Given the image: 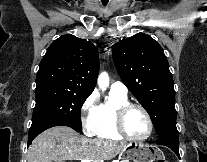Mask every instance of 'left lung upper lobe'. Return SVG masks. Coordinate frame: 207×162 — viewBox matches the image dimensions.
Returning a JSON list of instances; mask_svg holds the SVG:
<instances>
[{
    "label": "left lung upper lobe",
    "mask_w": 207,
    "mask_h": 162,
    "mask_svg": "<svg viewBox=\"0 0 207 162\" xmlns=\"http://www.w3.org/2000/svg\"><path fill=\"white\" fill-rule=\"evenodd\" d=\"M112 53L122 81L150 114L157 134L177 130L174 83L161 46L138 33L114 44Z\"/></svg>",
    "instance_id": "obj_1"
}]
</instances>
